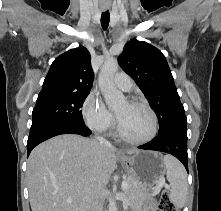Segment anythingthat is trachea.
Instances as JSON below:
<instances>
[{
	"label": "trachea",
	"mask_w": 221,
	"mask_h": 211,
	"mask_svg": "<svg viewBox=\"0 0 221 211\" xmlns=\"http://www.w3.org/2000/svg\"><path fill=\"white\" fill-rule=\"evenodd\" d=\"M109 20H110V14L109 11L107 10L103 12L101 15V25L104 30L108 28Z\"/></svg>",
	"instance_id": "3493384b"
}]
</instances>
